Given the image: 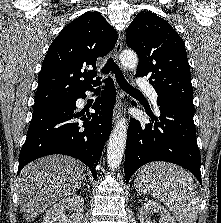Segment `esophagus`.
Listing matches in <instances>:
<instances>
[{"label": "esophagus", "instance_id": "esophagus-1", "mask_svg": "<svg viewBox=\"0 0 221 223\" xmlns=\"http://www.w3.org/2000/svg\"><path fill=\"white\" fill-rule=\"evenodd\" d=\"M122 45H123V36L122 33H119L118 35V40L114 49V59L116 62L119 61V55L120 52L122 50ZM123 93H121L120 91H118V99H117V103L114 107L113 110V120L116 121L117 119H119V117L121 116L122 110H123V103H122V99H123Z\"/></svg>", "mask_w": 221, "mask_h": 223}]
</instances>
